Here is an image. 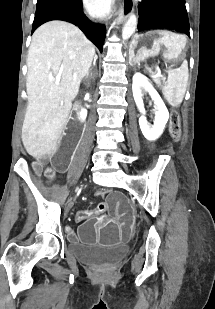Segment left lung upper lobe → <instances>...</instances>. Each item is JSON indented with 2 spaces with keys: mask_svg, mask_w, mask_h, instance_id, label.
<instances>
[{
  "mask_svg": "<svg viewBox=\"0 0 215 309\" xmlns=\"http://www.w3.org/2000/svg\"><path fill=\"white\" fill-rule=\"evenodd\" d=\"M138 13V31L168 28L190 36L185 0H143L138 5Z\"/></svg>",
  "mask_w": 215,
  "mask_h": 309,
  "instance_id": "1",
  "label": "left lung upper lobe"
}]
</instances>
